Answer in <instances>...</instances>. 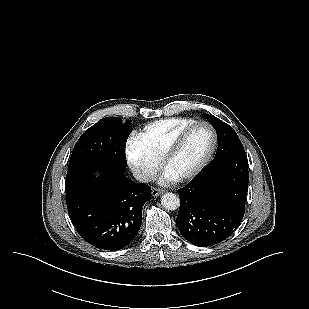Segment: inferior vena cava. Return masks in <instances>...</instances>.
<instances>
[{"instance_id":"602c4592","label":"inferior vena cava","mask_w":309,"mask_h":309,"mask_svg":"<svg viewBox=\"0 0 309 309\" xmlns=\"http://www.w3.org/2000/svg\"><path fill=\"white\" fill-rule=\"evenodd\" d=\"M133 176L136 180L143 182V183L150 182L151 180L154 179L153 176H151L150 174L145 173L141 170H134Z\"/></svg>"}]
</instances>
